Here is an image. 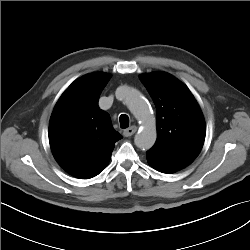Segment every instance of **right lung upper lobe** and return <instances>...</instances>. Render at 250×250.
<instances>
[{
  "label": "right lung upper lobe",
  "instance_id": "right-lung-upper-lobe-1",
  "mask_svg": "<svg viewBox=\"0 0 250 250\" xmlns=\"http://www.w3.org/2000/svg\"><path fill=\"white\" fill-rule=\"evenodd\" d=\"M106 73H92L72 83L52 112L49 142L54 158L69 174L88 179L105 167L122 136L108 113L98 106L110 80Z\"/></svg>",
  "mask_w": 250,
  "mask_h": 250
}]
</instances>
